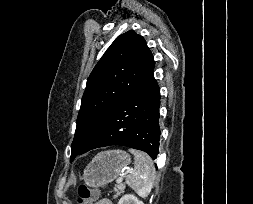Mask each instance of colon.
<instances>
[{"label": "colon", "instance_id": "1", "mask_svg": "<svg viewBox=\"0 0 253 204\" xmlns=\"http://www.w3.org/2000/svg\"><path fill=\"white\" fill-rule=\"evenodd\" d=\"M99 197V190L82 184L78 188L77 204H94Z\"/></svg>", "mask_w": 253, "mask_h": 204}]
</instances>
